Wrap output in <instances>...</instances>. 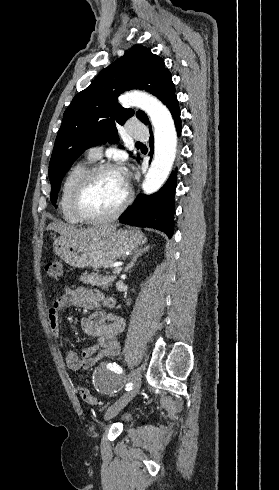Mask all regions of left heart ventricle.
Instances as JSON below:
<instances>
[{
	"instance_id": "1",
	"label": "left heart ventricle",
	"mask_w": 279,
	"mask_h": 490,
	"mask_svg": "<svg viewBox=\"0 0 279 490\" xmlns=\"http://www.w3.org/2000/svg\"><path fill=\"white\" fill-rule=\"evenodd\" d=\"M126 192L121 172H102L95 178L88 193L87 208L97 215L111 213L123 202Z\"/></svg>"
}]
</instances>
